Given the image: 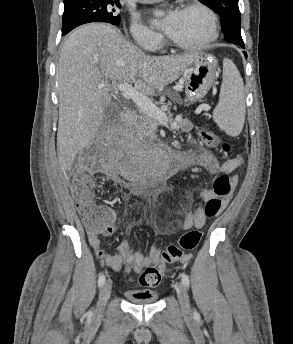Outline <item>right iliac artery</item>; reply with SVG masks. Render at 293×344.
I'll use <instances>...</instances> for the list:
<instances>
[{
	"mask_svg": "<svg viewBox=\"0 0 293 344\" xmlns=\"http://www.w3.org/2000/svg\"><path fill=\"white\" fill-rule=\"evenodd\" d=\"M104 283H105V275L102 273L100 274L99 279H98V286L101 287L103 286ZM89 314H92V312L90 311Z\"/></svg>",
	"mask_w": 293,
	"mask_h": 344,
	"instance_id": "right-iliac-artery-1",
	"label": "right iliac artery"
}]
</instances>
